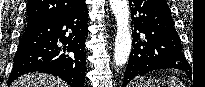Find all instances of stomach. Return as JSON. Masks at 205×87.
<instances>
[{
	"label": "stomach",
	"instance_id": "1",
	"mask_svg": "<svg viewBox=\"0 0 205 87\" xmlns=\"http://www.w3.org/2000/svg\"><path fill=\"white\" fill-rule=\"evenodd\" d=\"M137 87H159V80L150 78L137 83Z\"/></svg>",
	"mask_w": 205,
	"mask_h": 87
}]
</instances>
